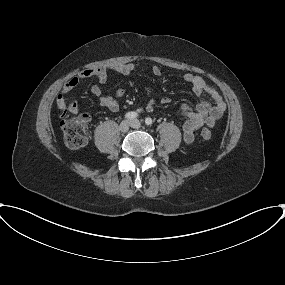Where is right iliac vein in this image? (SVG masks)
<instances>
[{"mask_svg": "<svg viewBox=\"0 0 285 285\" xmlns=\"http://www.w3.org/2000/svg\"><path fill=\"white\" fill-rule=\"evenodd\" d=\"M129 127H130V122L128 120H124L120 123L119 130L122 133H126V132H128Z\"/></svg>", "mask_w": 285, "mask_h": 285, "instance_id": "1", "label": "right iliac vein"}]
</instances>
